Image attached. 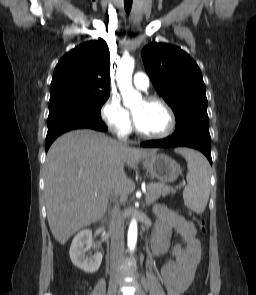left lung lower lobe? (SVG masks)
Here are the masks:
<instances>
[{"instance_id":"obj_1","label":"left lung lower lobe","mask_w":256,"mask_h":295,"mask_svg":"<svg viewBox=\"0 0 256 295\" xmlns=\"http://www.w3.org/2000/svg\"><path fill=\"white\" fill-rule=\"evenodd\" d=\"M142 147H191L201 151L212 164L211 137L209 130L186 128L180 132L161 139L143 142Z\"/></svg>"}]
</instances>
